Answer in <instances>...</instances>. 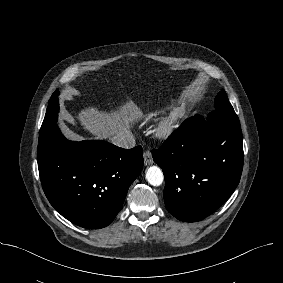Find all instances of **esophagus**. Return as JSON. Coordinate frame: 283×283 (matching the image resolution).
<instances>
[{
  "mask_svg": "<svg viewBox=\"0 0 283 283\" xmlns=\"http://www.w3.org/2000/svg\"><path fill=\"white\" fill-rule=\"evenodd\" d=\"M143 158H144V164L146 166L151 165L153 163L152 153L149 150L144 152Z\"/></svg>",
  "mask_w": 283,
  "mask_h": 283,
  "instance_id": "34e87169",
  "label": "esophagus"
}]
</instances>
